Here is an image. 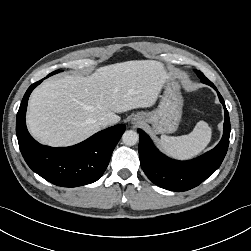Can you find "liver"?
Wrapping results in <instances>:
<instances>
[{
  "instance_id": "obj_1",
  "label": "liver",
  "mask_w": 251,
  "mask_h": 251,
  "mask_svg": "<svg viewBox=\"0 0 251 251\" xmlns=\"http://www.w3.org/2000/svg\"><path fill=\"white\" fill-rule=\"evenodd\" d=\"M169 77L162 63L135 60L100 67L86 77L45 81L29 99V132L46 145L76 144L100 130L98 118L115 124L116 113L152 106Z\"/></svg>"
}]
</instances>
